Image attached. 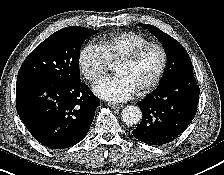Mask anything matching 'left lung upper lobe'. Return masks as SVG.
Segmentation results:
<instances>
[{
	"mask_svg": "<svg viewBox=\"0 0 224 175\" xmlns=\"http://www.w3.org/2000/svg\"><path fill=\"white\" fill-rule=\"evenodd\" d=\"M140 25L157 37L166 52L167 64L162 81L180 73H193L190 57L179 42L153 25L142 23Z\"/></svg>",
	"mask_w": 224,
	"mask_h": 175,
	"instance_id": "obj_1",
	"label": "left lung upper lobe"
}]
</instances>
